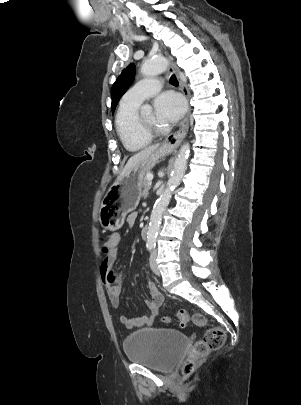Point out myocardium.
<instances>
[{"instance_id":"myocardium-1","label":"myocardium","mask_w":301,"mask_h":405,"mask_svg":"<svg viewBox=\"0 0 301 405\" xmlns=\"http://www.w3.org/2000/svg\"><path fill=\"white\" fill-rule=\"evenodd\" d=\"M135 124H136V129L139 133H141L144 136L150 137V138L156 137L165 131V129L162 127L148 126V125L144 124L141 119V115L139 113H137Z\"/></svg>"}]
</instances>
